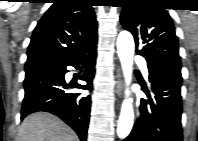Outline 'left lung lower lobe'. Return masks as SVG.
Wrapping results in <instances>:
<instances>
[{
  "mask_svg": "<svg viewBox=\"0 0 198 141\" xmlns=\"http://www.w3.org/2000/svg\"><path fill=\"white\" fill-rule=\"evenodd\" d=\"M151 90L143 89L141 117L124 141H182L181 71L170 67L149 68Z\"/></svg>",
  "mask_w": 198,
  "mask_h": 141,
  "instance_id": "obj_1",
  "label": "left lung lower lobe"
}]
</instances>
